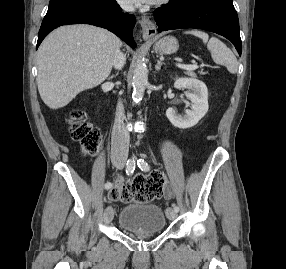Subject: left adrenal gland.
<instances>
[{
    "label": "left adrenal gland",
    "mask_w": 286,
    "mask_h": 269,
    "mask_svg": "<svg viewBox=\"0 0 286 269\" xmlns=\"http://www.w3.org/2000/svg\"><path fill=\"white\" fill-rule=\"evenodd\" d=\"M162 61L161 60H157V65L155 66V69L157 70V71H159L160 69H161V66H162Z\"/></svg>",
    "instance_id": "obj_1"
}]
</instances>
